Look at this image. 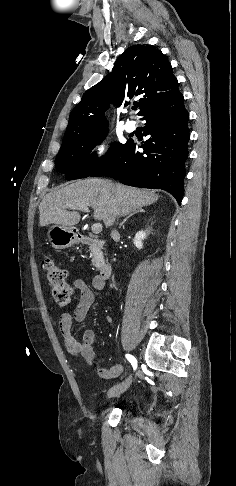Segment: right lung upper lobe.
<instances>
[{"mask_svg":"<svg viewBox=\"0 0 236 486\" xmlns=\"http://www.w3.org/2000/svg\"><path fill=\"white\" fill-rule=\"evenodd\" d=\"M179 93L171 64L160 50L131 46L117 58L112 72L83 94L70 114L63 144L107 128L105 111L111 101L120 106L125 98L140 96V116L149 106Z\"/></svg>","mask_w":236,"mask_h":486,"instance_id":"cb5924a9","label":"right lung upper lobe"}]
</instances>
